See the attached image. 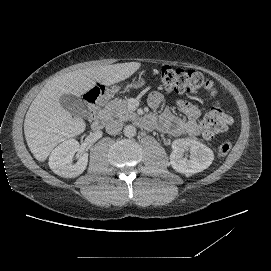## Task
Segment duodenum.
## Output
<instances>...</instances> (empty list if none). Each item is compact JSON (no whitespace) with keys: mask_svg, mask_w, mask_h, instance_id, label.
Listing matches in <instances>:
<instances>
[{"mask_svg":"<svg viewBox=\"0 0 271 271\" xmlns=\"http://www.w3.org/2000/svg\"><path fill=\"white\" fill-rule=\"evenodd\" d=\"M93 128L95 130L103 128L113 130L115 128V124L111 123L110 109L107 105L99 110L98 115L93 122Z\"/></svg>","mask_w":271,"mask_h":271,"instance_id":"duodenum-1","label":"duodenum"}]
</instances>
